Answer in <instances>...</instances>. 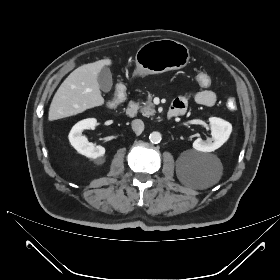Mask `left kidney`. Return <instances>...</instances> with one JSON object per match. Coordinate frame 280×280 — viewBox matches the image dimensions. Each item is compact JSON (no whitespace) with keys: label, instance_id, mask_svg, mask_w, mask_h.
<instances>
[{"label":"left kidney","instance_id":"obj_1","mask_svg":"<svg viewBox=\"0 0 280 280\" xmlns=\"http://www.w3.org/2000/svg\"><path fill=\"white\" fill-rule=\"evenodd\" d=\"M209 123L212 128L211 138L203 140L196 139L193 148L200 152H212L220 148L230 137L232 125L228 121L218 117H210Z\"/></svg>","mask_w":280,"mask_h":280}]
</instances>
